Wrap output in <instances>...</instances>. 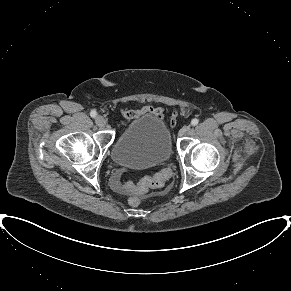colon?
<instances>
[{
  "instance_id": "colon-1",
  "label": "colon",
  "mask_w": 291,
  "mask_h": 291,
  "mask_svg": "<svg viewBox=\"0 0 291 291\" xmlns=\"http://www.w3.org/2000/svg\"><path fill=\"white\" fill-rule=\"evenodd\" d=\"M170 175L171 170L169 168H165L153 176L143 178L137 184L127 182L125 183L124 187L126 190L131 192L143 193L148 191L150 188H158L163 186L165 182L170 178ZM129 203L133 207H138L142 204V200L137 196H133L129 199Z\"/></svg>"
}]
</instances>
